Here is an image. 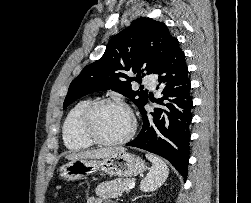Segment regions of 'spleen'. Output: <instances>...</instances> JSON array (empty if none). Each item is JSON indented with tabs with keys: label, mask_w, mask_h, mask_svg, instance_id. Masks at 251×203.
<instances>
[{
	"label": "spleen",
	"mask_w": 251,
	"mask_h": 203,
	"mask_svg": "<svg viewBox=\"0 0 251 203\" xmlns=\"http://www.w3.org/2000/svg\"><path fill=\"white\" fill-rule=\"evenodd\" d=\"M145 156L152 162V167L146 177L141 181L140 189L143 192H152L164 184L169 174V168L158 156L150 153H147Z\"/></svg>",
	"instance_id": "spleen-1"
}]
</instances>
